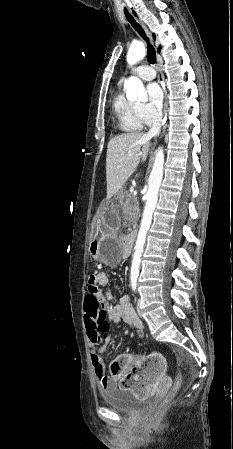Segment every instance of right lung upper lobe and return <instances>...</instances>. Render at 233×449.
<instances>
[{
  "instance_id": "right-lung-upper-lobe-1",
  "label": "right lung upper lobe",
  "mask_w": 233,
  "mask_h": 449,
  "mask_svg": "<svg viewBox=\"0 0 233 449\" xmlns=\"http://www.w3.org/2000/svg\"><path fill=\"white\" fill-rule=\"evenodd\" d=\"M153 37L155 38V35L153 34ZM159 51H160V47H159V49H158Z\"/></svg>"
}]
</instances>
